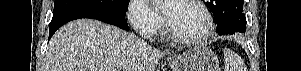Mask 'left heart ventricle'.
Here are the masks:
<instances>
[{"mask_svg":"<svg viewBox=\"0 0 301 71\" xmlns=\"http://www.w3.org/2000/svg\"><path fill=\"white\" fill-rule=\"evenodd\" d=\"M166 18L176 33L186 37L200 35L206 27V19L202 12L184 1H175Z\"/></svg>","mask_w":301,"mask_h":71,"instance_id":"b2bd125f","label":"left heart ventricle"}]
</instances>
